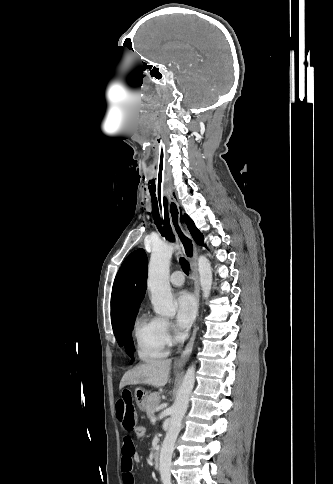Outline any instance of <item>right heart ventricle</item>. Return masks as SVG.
<instances>
[{
	"label": "right heart ventricle",
	"mask_w": 333,
	"mask_h": 484,
	"mask_svg": "<svg viewBox=\"0 0 333 484\" xmlns=\"http://www.w3.org/2000/svg\"><path fill=\"white\" fill-rule=\"evenodd\" d=\"M137 354L143 361L164 358L168 354L165 341L163 319L142 312L134 325Z\"/></svg>",
	"instance_id": "obj_1"
}]
</instances>
